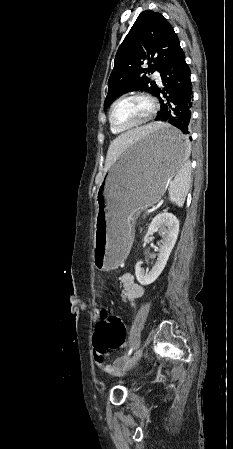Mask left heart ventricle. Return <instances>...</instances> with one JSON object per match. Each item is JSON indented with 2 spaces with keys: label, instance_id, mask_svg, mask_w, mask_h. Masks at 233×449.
I'll use <instances>...</instances> for the list:
<instances>
[{
  "label": "left heart ventricle",
  "instance_id": "1",
  "mask_svg": "<svg viewBox=\"0 0 233 449\" xmlns=\"http://www.w3.org/2000/svg\"><path fill=\"white\" fill-rule=\"evenodd\" d=\"M149 112L148 103L140 97L121 100L113 109V121L119 126H129L143 120Z\"/></svg>",
  "mask_w": 233,
  "mask_h": 449
}]
</instances>
